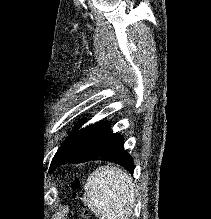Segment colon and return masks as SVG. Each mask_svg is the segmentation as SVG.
I'll list each match as a JSON object with an SVG mask.
<instances>
[{
	"instance_id": "1",
	"label": "colon",
	"mask_w": 211,
	"mask_h": 219,
	"mask_svg": "<svg viewBox=\"0 0 211 219\" xmlns=\"http://www.w3.org/2000/svg\"><path fill=\"white\" fill-rule=\"evenodd\" d=\"M78 186V183H75V187ZM84 218L87 219L86 215L84 214Z\"/></svg>"
}]
</instances>
